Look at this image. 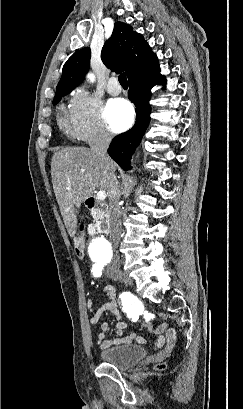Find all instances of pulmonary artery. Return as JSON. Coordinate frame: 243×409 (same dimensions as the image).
<instances>
[{"label":"pulmonary artery","instance_id":"obj_1","mask_svg":"<svg viewBox=\"0 0 243 409\" xmlns=\"http://www.w3.org/2000/svg\"><path fill=\"white\" fill-rule=\"evenodd\" d=\"M107 91L111 95H119L121 93V86L119 85L117 78H110L107 85Z\"/></svg>","mask_w":243,"mask_h":409}]
</instances>
